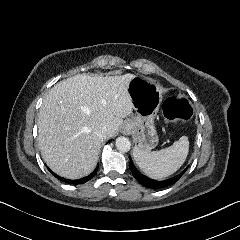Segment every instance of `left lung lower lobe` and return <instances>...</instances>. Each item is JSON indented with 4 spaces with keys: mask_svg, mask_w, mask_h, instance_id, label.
Returning <instances> with one entry per match:
<instances>
[{
    "mask_svg": "<svg viewBox=\"0 0 240 240\" xmlns=\"http://www.w3.org/2000/svg\"><path fill=\"white\" fill-rule=\"evenodd\" d=\"M130 169H131V172H132L133 176L138 180V182L140 184H142L144 187L153 188V189L164 188V187H167V186H170V185L174 184L175 182H177L180 179L182 174L187 170V168H186L179 175L174 176L170 179H167V180H164V181H156V180L150 179V178L142 175L135 168V166H134V164L132 163L131 160H130Z\"/></svg>",
    "mask_w": 240,
    "mask_h": 240,
    "instance_id": "0a47b994",
    "label": "left lung lower lobe"
}]
</instances>
